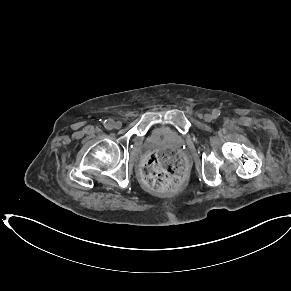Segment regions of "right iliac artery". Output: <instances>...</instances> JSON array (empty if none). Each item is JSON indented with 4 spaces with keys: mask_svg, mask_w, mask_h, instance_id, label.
Instances as JSON below:
<instances>
[{
    "mask_svg": "<svg viewBox=\"0 0 291 291\" xmlns=\"http://www.w3.org/2000/svg\"><path fill=\"white\" fill-rule=\"evenodd\" d=\"M113 125H114V121H112V120H105V122H104L105 128H107L109 130L113 128Z\"/></svg>",
    "mask_w": 291,
    "mask_h": 291,
    "instance_id": "right-iliac-artery-1",
    "label": "right iliac artery"
}]
</instances>
